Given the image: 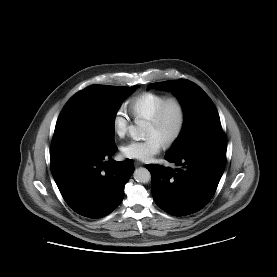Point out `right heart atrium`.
Wrapping results in <instances>:
<instances>
[{
	"instance_id": "1",
	"label": "right heart atrium",
	"mask_w": 277,
	"mask_h": 277,
	"mask_svg": "<svg viewBox=\"0 0 277 277\" xmlns=\"http://www.w3.org/2000/svg\"><path fill=\"white\" fill-rule=\"evenodd\" d=\"M130 119L123 109H118L112 118L114 133L119 137H124L129 129Z\"/></svg>"
}]
</instances>
